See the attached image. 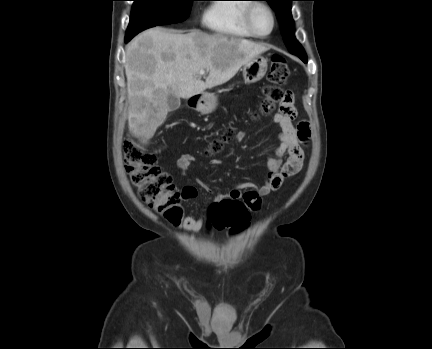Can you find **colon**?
<instances>
[{"label":"colon","instance_id":"5ec220e1","mask_svg":"<svg viewBox=\"0 0 432 349\" xmlns=\"http://www.w3.org/2000/svg\"><path fill=\"white\" fill-rule=\"evenodd\" d=\"M290 71L286 60L274 55L268 72V84L264 87V98L260 112L270 113L277 103L289 104L292 94L284 91V84ZM256 117L257 114H254ZM234 137L232 128L226 130L221 138L214 140L208 152L218 153L224 144ZM124 162L132 184L137 188L139 197L168 222L177 225L183 215L181 196L173 184L169 173L157 165V152L144 150L138 138L129 137L123 142ZM249 209L243 201L224 199L210 208V221L216 229L239 231L249 224Z\"/></svg>","mask_w":432,"mask_h":349}]
</instances>
